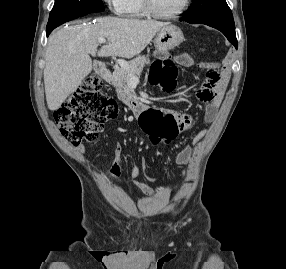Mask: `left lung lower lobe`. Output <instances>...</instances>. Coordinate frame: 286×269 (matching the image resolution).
Instances as JSON below:
<instances>
[{
  "label": "left lung lower lobe",
  "mask_w": 286,
  "mask_h": 269,
  "mask_svg": "<svg viewBox=\"0 0 286 269\" xmlns=\"http://www.w3.org/2000/svg\"><path fill=\"white\" fill-rule=\"evenodd\" d=\"M180 21H182V20L180 19ZM202 24H206L208 26H211V27L216 28L219 31H221L237 49L238 45H237V39H236V34H235V27L233 28V27H229L226 25L213 24V23H202Z\"/></svg>",
  "instance_id": "1"
}]
</instances>
